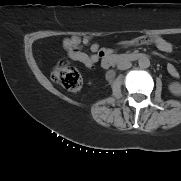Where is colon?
<instances>
[{"instance_id": "1", "label": "colon", "mask_w": 181, "mask_h": 181, "mask_svg": "<svg viewBox=\"0 0 181 181\" xmlns=\"http://www.w3.org/2000/svg\"><path fill=\"white\" fill-rule=\"evenodd\" d=\"M51 75L56 82L63 85L69 91H77L82 86L81 75L67 61H60L53 68Z\"/></svg>"}]
</instances>
